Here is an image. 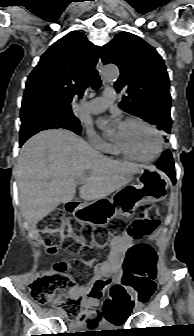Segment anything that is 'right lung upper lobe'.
Returning a JSON list of instances; mask_svg holds the SVG:
<instances>
[{
  "label": "right lung upper lobe",
  "mask_w": 194,
  "mask_h": 336,
  "mask_svg": "<svg viewBox=\"0 0 194 336\" xmlns=\"http://www.w3.org/2000/svg\"><path fill=\"white\" fill-rule=\"evenodd\" d=\"M99 55L100 48L82 32L71 31L56 41L28 76L21 121L39 114H73L72 98L82 97L88 86L87 74L96 65Z\"/></svg>",
  "instance_id": "1"
}]
</instances>
